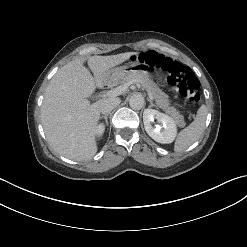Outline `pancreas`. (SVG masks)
Returning <instances> with one entry per match:
<instances>
[{
	"instance_id": "obj_1",
	"label": "pancreas",
	"mask_w": 247,
	"mask_h": 247,
	"mask_svg": "<svg viewBox=\"0 0 247 247\" xmlns=\"http://www.w3.org/2000/svg\"><path fill=\"white\" fill-rule=\"evenodd\" d=\"M121 82H132L142 86L145 90H147V92H149L153 96L157 106L160 109H162L171 117H173L180 127L185 126L183 116L176 108L170 106L168 95L165 94L147 75L128 74L124 77V79Z\"/></svg>"
}]
</instances>
